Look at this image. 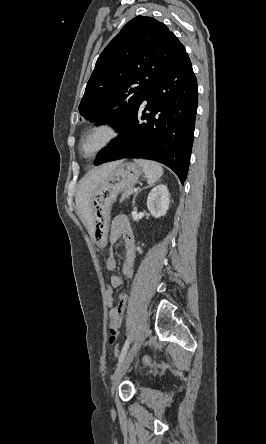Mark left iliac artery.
<instances>
[{"mask_svg": "<svg viewBox=\"0 0 266 444\" xmlns=\"http://www.w3.org/2000/svg\"><path fill=\"white\" fill-rule=\"evenodd\" d=\"M129 344H130V338H128L122 348L119 360H118V365L122 362V360L124 359V357L127 354L128 348H129Z\"/></svg>", "mask_w": 266, "mask_h": 444, "instance_id": "1", "label": "left iliac artery"}]
</instances>
